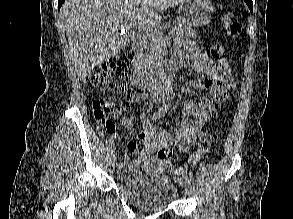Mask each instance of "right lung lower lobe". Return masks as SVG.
<instances>
[{
    "instance_id": "right-lung-lower-lobe-1",
    "label": "right lung lower lobe",
    "mask_w": 293,
    "mask_h": 219,
    "mask_svg": "<svg viewBox=\"0 0 293 219\" xmlns=\"http://www.w3.org/2000/svg\"><path fill=\"white\" fill-rule=\"evenodd\" d=\"M63 2H64V0H58V9H60Z\"/></svg>"
}]
</instances>
